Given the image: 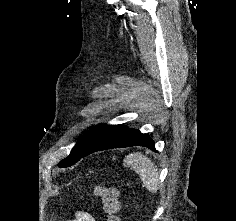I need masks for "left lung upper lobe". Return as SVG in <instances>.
<instances>
[{"instance_id": "1", "label": "left lung upper lobe", "mask_w": 236, "mask_h": 221, "mask_svg": "<svg viewBox=\"0 0 236 221\" xmlns=\"http://www.w3.org/2000/svg\"><path fill=\"white\" fill-rule=\"evenodd\" d=\"M99 129V127H95L93 128L90 132H88L84 138H81L76 145L73 147L70 155L63 159L58 166L61 168L64 167H68L71 166L73 164H75L77 162V157L80 153V151L82 150V148L88 144L90 142V140L92 139V137L95 135V133L97 132V130Z\"/></svg>"}]
</instances>
